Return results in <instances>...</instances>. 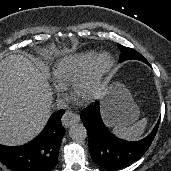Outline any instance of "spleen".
Here are the masks:
<instances>
[{
    "mask_svg": "<svg viewBox=\"0 0 171 171\" xmlns=\"http://www.w3.org/2000/svg\"><path fill=\"white\" fill-rule=\"evenodd\" d=\"M148 120L147 118H143L139 120L137 123L133 124L132 126H119L113 128V133L120 138L135 141L141 138L142 134L144 133L147 127Z\"/></svg>",
    "mask_w": 171,
    "mask_h": 171,
    "instance_id": "3e777b00",
    "label": "spleen"
}]
</instances>
